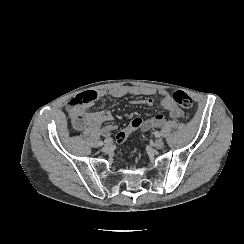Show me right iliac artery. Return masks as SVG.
Wrapping results in <instances>:
<instances>
[{
	"instance_id": "1",
	"label": "right iliac artery",
	"mask_w": 244,
	"mask_h": 244,
	"mask_svg": "<svg viewBox=\"0 0 244 244\" xmlns=\"http://www.w3.org/2000/svg\"><path fill=\"white\" fill-rule=\"evenodd\" d=\"M99 145H103V142L102 141H99Z\"/></svg>"
}]
</instances>
